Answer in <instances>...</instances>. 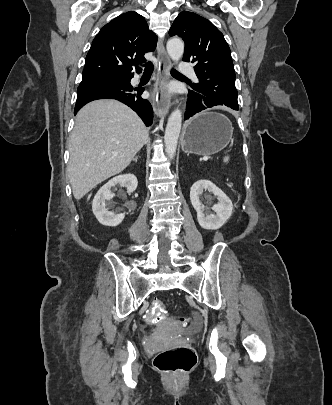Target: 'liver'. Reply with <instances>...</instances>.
<instances>
[{"instance_id": "6515ba94", "label": "liver", "mask_w": 332, "mask_h": 405, "mask_svg": "<svg viewBox=\"0 0 332 405\" xmlns=\"http://www.w3.org/2000/svg\"><path fill=\"white\" fill-rule=\"evenodd\" d=\"M148 140L142 120L121 102L86 104L76 115L69 139L67 175L75 199L122 172Z\"/></svg>"}]
</instances>
